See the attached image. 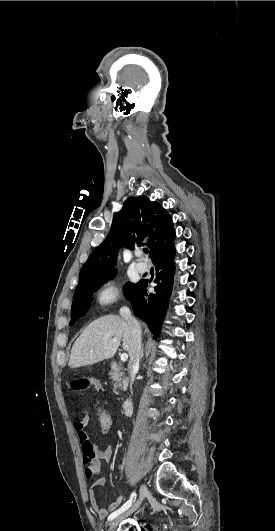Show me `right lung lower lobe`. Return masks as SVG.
I'll return each mask as SVG.
<instances>
[{"mask_svg":"<svg viewBox=\"0 0 275 531\" xmlns=\"http://www.w3.org/2000/svg\"><path fill=\"white\" fill-rule=\"evenodd\" d=\"M174 239L173 230L169 238L150 256L156 267L155 292H148V280H141L134 284L126 297L131 302L135 315L142 319L156 336L160 334L172 291L175 273V249L172 244Z\"/></svg>","mask_w":275,"mask_h":531,"instance_id":"98d812e1","label":"right lung lower lobe"}]
</instances>
